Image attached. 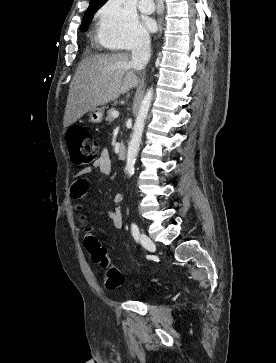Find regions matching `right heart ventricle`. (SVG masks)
<instances>
[{
    "instance_id": "right-heart-ventricle-1",
    "label": "right heart ventricle",
    "mask_w": 276,
    "mask_h": 363,
    "mask_svg": "<svg viewBox=\"0 0 276 363\" xmlns=\"http://www.w3.org/2000/svg\"><path fill=\"white\" fill-rule=\"evenodd\" d=\"M101 43H102L103 45H105V46L112 47L111 45L104 44L102 41H101Z\"/></svg>"
}]
</instances>
